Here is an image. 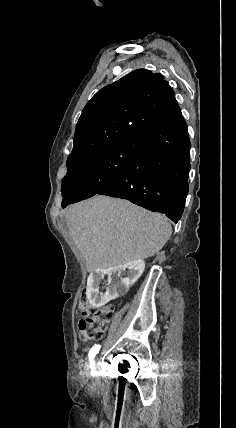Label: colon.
Segmentation results:
<instances>
[{
    "label": "colon",
    "instance_id": "colon-1",
    "mask_svg": "<svg viewBox=\"0 0 236 428\" xmlns=\"http://www.w3.org/2000/svg\"><path fill=\"white\" fill-rule=\"evenodd\" d=\"M80 310L83 319L79 322V337L82 341L98 340L103 337L109 323L112 320L113 308L105 306L93 307L88 303L87 290L81 291Z\"/></svg>",
    "mask_w": 236,
    "mask_h": 428
}]
</instances>
